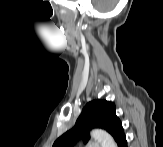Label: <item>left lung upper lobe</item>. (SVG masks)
I'll list each match as a JSON object with an SVG mask.
<instances>
[{
  "label": "left lung upper lobe",
  "instance_id": "5c2ea615",
  "mask_svg": "<svg viewBox=\"0 0 163 147\" xmlns=\"http://www.w3.org/2000/svg\"><path fill=\"white\" fill-rule=\"evenodd\" d=\"M92 128H102L116 140L123 131L121 121L115 114L114 103L106 100H93L83 108L75 127L53 144V147H71L81 135L86 143L89 140V131Z\"/></svg>",
  "mask_w": 163,
  "mask_h": 147
}]
</instances>
